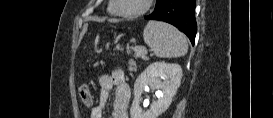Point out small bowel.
<instances>
[{"instance_id": "1", "label": "small bowel", "mask_w": 273, "mask_h": 118, "mask_svg": "<svg viewBox=\"0 0 273 118\" xmlns=\"http://www.w3.org/2000/svg\"><path fill=\"white\" fill-rule=\"evenodd\" d=\"M99 103L93 104L91 96L90 103L86 104L91 107V118H103L105 106L110 98V93L114 91V100L112 105L113 118H129L128 108L131 100L130 86L123 73L118 70H112L111 73H102L99 75Z\"/></svg>"}]
</instances>
